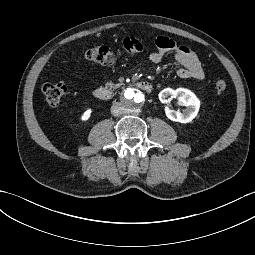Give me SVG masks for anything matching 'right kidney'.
<instances>
[{"label":"right kidney","mask_w":255,"mask_h":255,"mask_svg":"<svg viewBox=\"0 0 255 255\" xmlns=\"http://www.w3.org/2000/svg\"><path fill=\"white\" fill-rule=\"evenodd\" d=\"M91 112H92L91 109L86 110L81 117L82 121L88 120L91 115Z\"/></svg>","instance_id":"ca27d5eb"}]
</instances>
